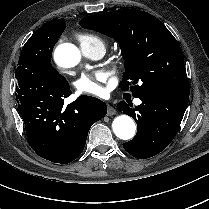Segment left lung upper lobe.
Returning a JSON list of instances; mask_svg holds the SVG:
<instances>
[{"label": "left lung upper lobe", "mask_w": 209, "mask_h": 209, "mask_svg": "<svg viewBox=\"0 0 209 209\" xmlns=\"http://www.w3.org/2000/svg\"><path fill=\"white\" fill-rule=\"evenodd\" d=\"M80 25L119 43L126 68L119 85L123 91L132 85L130 89L135 97L149 91L189 97L182 50L153 15L139 10H118L87 16Z\"/></svg>", "instance_id": "1"}]
</instances>
